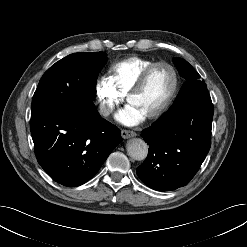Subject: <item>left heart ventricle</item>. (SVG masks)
Masks as SVG:
<instances>
[{
  "mask_svg": "<svg viewBox=\"0 0 247 247\" xmlns=\"http://www.w3.org/2000/svg\"><path fill=\"white\" fill-rule=\"evenodd\" d=\"M173 85L169 68L160 66L149 75L142 91L129 100L146 117L155 112L167 99Z\"/></svg>",
  "mask_w": 247,
  "mask_h": 247,
  "instance_id": "b2bd125f",
  "label": "left heart ventricle"
}]
</instances>
